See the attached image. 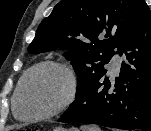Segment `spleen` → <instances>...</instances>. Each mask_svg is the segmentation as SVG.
<instances>
[{
	"label": "spleen",
	"mask_w": 151,
	"mask_h": 131,
	"mask_svg": "<svg viewBox=\"0 0 151 131\" xmlns=\"http://www.w3.org/2000/svg\"><path fill=\"white\" fill-rule=\"evenodd\" d=\"M82 131H101V129L98 126L95 125H84L81 126Z\"/></svg>",
	"instance_id": "1"
}]
</instances>
